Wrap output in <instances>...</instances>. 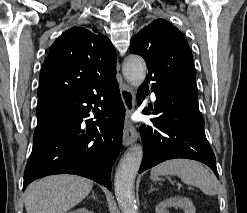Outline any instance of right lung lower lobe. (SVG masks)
Listing matches in <instances>:
<instances>
[{"label":"right lung lower lobe","mask_w":247,"mask_h":213,"mask_svg":"<svg viewBox=\"0 0 247 213\" xmlns=\"http://www.w3.org/2000/svg\"><path fill=\"white\" fill-rule=\"evenodd\" d=\"M90 112L97 120H86L85 127L83 118ZM36 113L23 190L33 180L60 173L81 175L111 190V168L121 150L125 116L116 78L88 92L56 95L38 104Z\"/></svg>","instance_id":"obj_1"}]
</instances>
